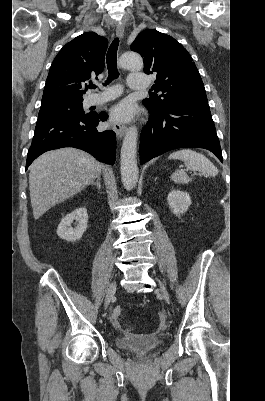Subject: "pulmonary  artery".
<instances>
[{
  "instance_id": "1",
  "label": "pulmonary artery",
  "mask_w": 265,
  "mask_h": 401,
  "mask_svg": "<svg viewBox=\"0 0 265 401\" xmlns=\"http://www.w3.org/2000/svg\"><path fill=\"white\" fill-rule=\"evenodd\" d=\"M148 78L142 72H132L128 77L130 90H146ZM109 88H114V83H109ZM120 95V91L110 92L102 95H94L89 97V102L92 104H103L115 99Z\"/></svg>"
}]
</instances>
